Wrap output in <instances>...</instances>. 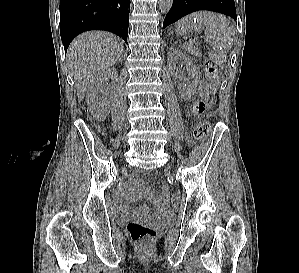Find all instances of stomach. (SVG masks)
<instances>
[{
  "instance_id": "1",
  "label": "stomach",
  "mask_w": 299,
  "mask_h": 273,
  "mask_svg": "<svg viewBox=\"0 0 299 273\" xmlns=\"http://www.w3.org/2000/svg\"><path fill=\"white\" fill-rule=\"evenodd\" d=\"M203 28L192 27L190 31L200 32Z\"/></svg>"
}]
</instances>
